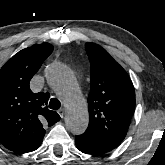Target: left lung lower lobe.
Instances as JSON below:
<instances>
[{"label": "left lung lower lobe", "mask_w": 165, "mask_h": 165, "mask_svg": "<svg viewBox=\"0 0 165 165\" xmlns=\"http://www.w3.org/2000/svg\"><path fill=\"white\" fill-rule=\"evenodd\" d=\"M75 143L81 152L90 155H102L118 146L88 130L81 135H76Z\"/></svg>", "instance_id": "left-lung-lower-lobe-1"}]
</instances>
